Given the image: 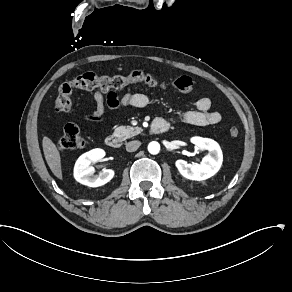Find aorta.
<instances>
[{
    "label": "aorta",
    "mask_w": 292,
    "mask_h": 292,
    "mask_svg": "<svg viewBox=\"0 0 292 292\" xmlns=\"http://www.w3.org/2000/svg\"><path fill=\"white\" fill-rule=\"evenodd\" d=\"M148 151L151 153V154H157L159 153L160 151V144L156 141H152L149 143L148 145Z\"/></svg>",
    "instance_id": "obj_1"
}]
</instances>
